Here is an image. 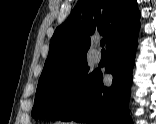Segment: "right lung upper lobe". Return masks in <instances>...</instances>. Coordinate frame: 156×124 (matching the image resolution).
<instances>
[{"mask_svg": "<svg viewBox=\"0 0 156 124\" xmlns=\"http://www.w3.org/2000/svg\"><path fill=\"white\" fill-rule=\"evenodd\" d=\"M136 0H78L68 19L54 32L41 78L87 62L91 38L100 34L106 48L139 27Z\"/></svg>", "mask_w": 156, "mask_h": 124, "instance_id": "cb5924a9", "label": "right lung upper lobe"}]
</instances>
